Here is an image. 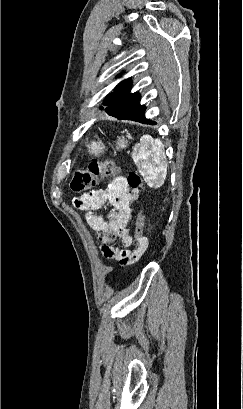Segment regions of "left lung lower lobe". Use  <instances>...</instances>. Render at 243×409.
<instances>
[{
	"label": "left lung lower lobe",
	"instance_id": "obj_1",
	"mask_svg": "<svg viewBox=\"0 0 243 409\" xmlns=\"http://www.w3.org/2000/svg\"><path fill=\"white\" fill-rule=\"evenodd\" d=\"M144 113L145 106L139 105V107L127 109L124 113L120 114L108 113V115L113 116L119 120H132L143 124L155 125L156 124L155 122L145 118Z\"/></svg>",
	"mask_w": 243,
	"mask_h": 409
}]
</instances>
